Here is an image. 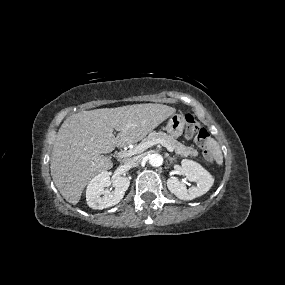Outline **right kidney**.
<instances>
[{"mask_svg": "<svg viewBox=\"0 0 285 285\" xmlns=\"http://www.w3.org/2000/svg\"><path fill=\"white\" fill-rule=\"evenodd\" d=\"M130 181L125 177H117L110 180L107 171H103L96 175L89 182L86 189V201L90 208L102 210L118 204L128 189ZM110 185L114 187L113 191H109Z\"/></svg>", "mask_w": 285, "mask_h": 285, "instance_id": "right-kidney-1", "label": "right kidney"}]
</instances>
